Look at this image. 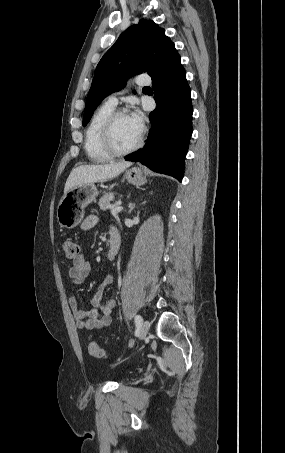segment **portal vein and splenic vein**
<instances>
[{
	"label": "portal vein and splenic vein",
	"instance_id": "18ae733b",
	"mask_svg": "<svg viewBox=\"0 0 285 453\" xmlns=\"http://www.w3.org/2000/svg\"><path fill=\"white\" fill-rule=\"evenodd\" d=\"M123 210V207L121 206V203H118L117 206L112 207L111 213L112 214H117Z\"/></svg>",
	"mask_w": 285,
	"mask_h": 453
}]
</instances>
